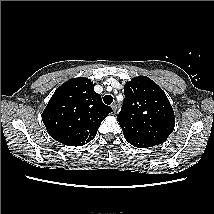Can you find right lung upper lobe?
Segmentation results:
<instances>
[{
  "label": "right lung upper lobe",
  "mask_w": 214,
  "mask_h": 214,
  "mask_svg": "<svg viewBox=\"0 0 214 214\" xmlns=\"http://www.w3.org/2000/svg\"><path fill=\"white\" fill-rule=\"evenodd\" d=\"M112 111L94 92L88 78H73L62 84L52 95L42 113L48 134L68 146H83L97 133L101 122Z\"/></svg>",
  "instance_id": "obj_1"
}]
</instances>
